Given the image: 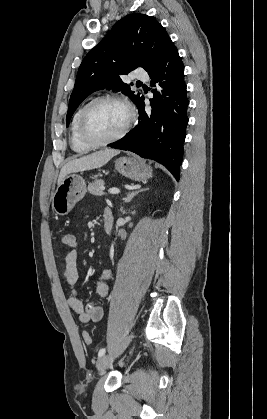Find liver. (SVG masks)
<instances>
[{"mask_svg": "<svg viewBox=\"0 0 267 419\" xmlns=\"http://www.w3.org/2000/svg\"><path fill=\"white\" fill-rule=\"evenodd\" d=\"M119 153V150L107 148L69 161L60 171L58 184L66 175L70 173L91 170L104 166L112 157L118 155Z\"/></svg>", "mask_w": 267, "mask_h": 419, "instance_id": "liver-1", "label": "liver"}]
</instances>
